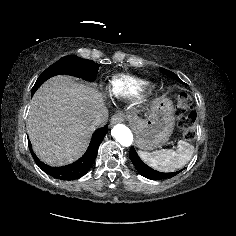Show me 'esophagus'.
I'll return each mask as SVG.
<instances>
[{
  "mask_svg": "<svg viewBox=\"0 0 236 236\" xmlns=\"http://www.w3.org/2000/svg\"><path fill=\"white\" fill-rule=\"evenodd\" d=\"M124 118H125L124 114L117 113V114L112 116L111 124L113 125V124H116V123H121V122H123Z\"/></svg>",
  "mask_w": 236,
  "mask_h": 236,
  "instance_id": "1",
  "label": "esophagus"
}]
</instances>
